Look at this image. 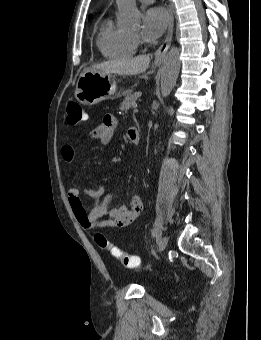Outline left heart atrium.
I'll return each instance as SVG.
<instances>
[{
    "label": "left heart atrium",
    "instance_id": "39dd6f15",
    "mask_svg": "<svg viewBox=\"0 0 261 340\" xmlns=\"http://www.w3.org/2000/svg\"><path fill=\"white\" fill-rule=\"evenodd\" d=\"M143 36L149 41L157 40L170 23L168 11L160 6L147 9L142 18Z\"/></svg>",
    "mask_w": 261,
    "mask_h": 340
}]
</instances>
